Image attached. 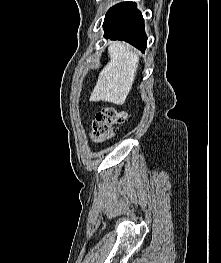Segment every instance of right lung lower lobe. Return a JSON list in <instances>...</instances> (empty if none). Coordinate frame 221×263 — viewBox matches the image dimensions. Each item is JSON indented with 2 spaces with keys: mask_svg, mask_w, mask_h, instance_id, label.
I'll list each match as a JSON object with an SVG mask.
<instances>
[{
  "mask_svg": "<svg viewBox=\"0 0 221 263\" xmlns=\"http://www.w3.org/2000/svg\"><path fill=\"white\" fill-rule=\"evenodd\" d=\"M103 27L106 38L124 40L145 51L147 36L144 32V20L135 2H122L110 8Z\"/></svg>",
  "mask_w": 221,
  "mask_h": 263,
  "instance_id": "98d812e1",
  "label": "right lung lower lobe"
}]
</instances>
